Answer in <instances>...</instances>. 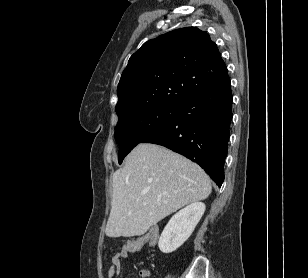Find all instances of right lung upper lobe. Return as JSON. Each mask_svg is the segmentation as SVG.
<instances>
[{
  "label": "right lung upper lobe",
  "mask_w": 308,
  "mask_h": 278,
  "mask_svg": "<svg viewBox=\"0 0 308 278\" xmlns=\"http://www.w3.org/2000/svg\"><path fill=\"white\" fill-rule=\"evenodd\" d=\"M228 80L209 34L180 28L147 41L130 57L118 84L116 112L122 120L146 108L179 106Z\"/></svg>",
  "instance_id": "obj_1"
}]
</instances>
